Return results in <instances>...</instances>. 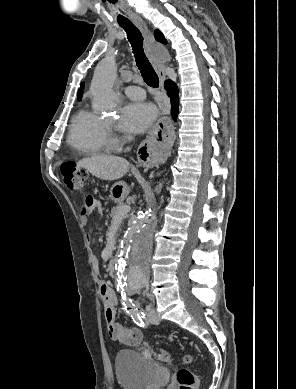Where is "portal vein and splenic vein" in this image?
<instances>
[{
    "label": "portal vein and splenic vein",
    "mask_w": 296,
    "mask_h": 389,
    "mask_svg": "<svg viewBox=\"0 0 296 389\" xmlns=\"http://www.w3.org/2000/svg\"><path fill=\"white\" fill-rule=\"evenodd\" d=\"M130 206L124 205L122 206L116 213V219H121L123 218L129 211H130Z\"/></svg>",
    "instance_id": "1"
}]
</instances>
